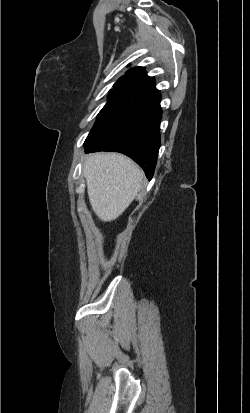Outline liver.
Segmentation results:
<instances>
[{"mask_svg": "<svg viewBox=\"0 0 250 413\" xmlns=\"http://www.w3.org/2000/svg\"><path fill=\"white\" fill-rule=\"evenodd\" d=\"M83 174L91 207L104 222L115 220L128 208L143 180L141 168L119 153L88 155Z\"/></svg>", "mask_w": 250, "mask_h": 413, "instance_id": "1", "label": "liver"}]
</instances>
